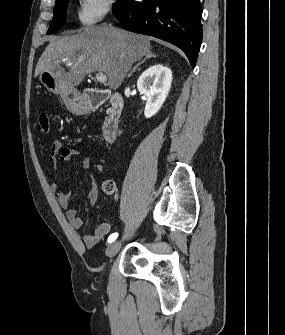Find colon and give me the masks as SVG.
I'll list each match as a JSON object with an SVG mask.
<instances>
[{"mask_svg":"<svg viewBox=\"0 0 285 335\" xmlns=\"http://www.w3.org/2000/svg\"><path fill=\"white\" fill-rule=\"evenodd\" d=\"M39 125H40V129L43 133H49V131H50V119H49V116L47 114L42 113L39 116ZM104 189H105L106 192L112 193L115 189V185L111 181H106L104 183Z\"/></svg>","mask_w":285,"mask_h":335,"instance_id":"obj_1","label":"colon"}]
</instances>
